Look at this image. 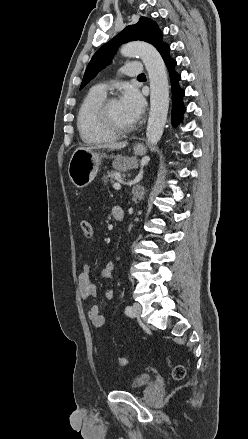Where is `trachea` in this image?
I'll return each mask as SVG.
<instances>
[{
    "label": "trachea",
    "instance_id": "obj_1",
    "mask_svg": "<svg viewBox=\"0 0 248 439\" xmlns=\"http://www.w3.org/2000/svg\"><path fill=\"white\" fill-rule=\"evenodd\" d=\"M138 77H145V74L143 73V74L139 75Z\"/></svg>",
    "mask_w": 248,
    "mask_h": 439
}]
</instances>
